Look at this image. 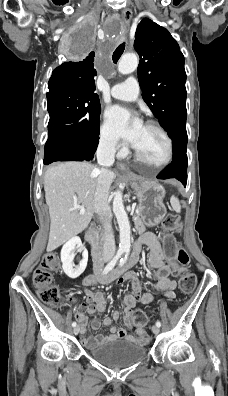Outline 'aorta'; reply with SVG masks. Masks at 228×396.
Instances as JSON below:
<instances>
[{
    "label": "aorta",
    "mask_w": 228,
    "mask_h": 396,
    "mask_svg": "<svg viewBox=\"0 0 228 396\" xmlns=\"http://www.w3.org/2000/svg\"><path fill=\"white\" fill-rule=\"evenodd\" d=\"M138 57L134 53H127L122 56L118 63V71L121 74H129L135 71L138 67ZM113 212L116 216L119 230H120V244L119 249L125 252L130 251L131 237H130V224L127 213L124 209L122 193L115 192L113 200Z\"/></svg>",
    "instance_id": "obj_1"
}]
</instances>
